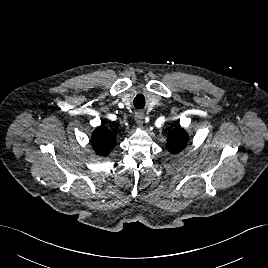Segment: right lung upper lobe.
<instances>
[{
    "mask_svg": "<svg viewBox=\"0 0 268 268\" xmlns=\"http://www.w3.org/2000/svg\"><path fill=\"white\" fill-rule=\"evenodd\" d=\"M92 144L97 154L107 156L116 145V135L102 125L93 132Z\"/></svg>",
    "mask_w": 268,
    "mask_h": 268,
    "instance_id": "right-lung-upper-lobe-1",
    "label": "right lung upper lobe"
}]
</instances>
